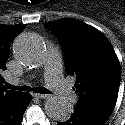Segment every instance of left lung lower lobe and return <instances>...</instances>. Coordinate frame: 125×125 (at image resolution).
<instances>
[{
    "label": "left lung lower lobe",
    "mask_w": 125,
    "mask_h": 125,
    "mask_svg": "<svg viewBox=\"0 0 125 125\" xmlns=\"http://www.w3.org/2000/svg\"><path fill=\"white\" fill-rule=\"evenodd\" d=\"M108 118V115L75 107L72 117L65 122H58L57 125H104Z\"/></svg>",
    "instance_id": "left-lung-lower-lobe-1"
}]
</instances>
